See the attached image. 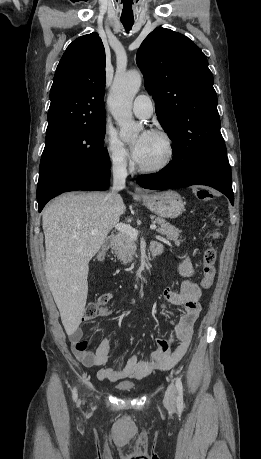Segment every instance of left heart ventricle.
I'll use <instances>...</instances> for the list:
<instances>
[{"mask_svg":"<svg viewBox=\"0 0 261 459\" xmlns=\"http://www.w3.org/2000/svg\"><path fill=\"white\" fill-rule=\"evenodd\" d=\"M165 155V142L161 138L151 134L145 145L143 158L139 164L143 166L155 165L162 161Z\"/></svg>","mask_w":261,"mask_h":459,"instance_id":"obj_1","label":"left heart ventricle"}]
</instances>
